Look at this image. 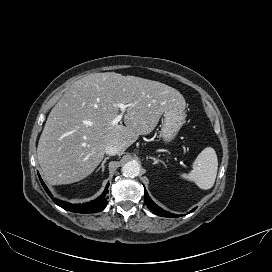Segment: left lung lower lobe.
<instances>
[{"mask_svg": "<svg viewBox=\"0 0 272 272\" xmlns=\"http://www.w3.org/2000/svg\"><path fill=\"white\" fill-rule=\"evenodd\" d=\"M144 200H145V203H146L147 207L150 209V211H152L154 214H156L158 216H162V217H179V215L170 214V213L164 211L163 209H161L160 207H158L151 200V198L149 197L146 190H145V194H144ZM192 211H190V212H192Z\"/></svg>", "mask_w": 272, "mask_h": 272, "instance_id": "0a47b994", "label": "left lung lower lobe"}]
</instances>
